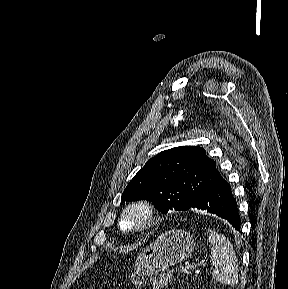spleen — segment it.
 <instances>
[{"label": "spleen", "instance_id": "obj_1", "mask_svg": "<svg viewBox=\"0 0 288 289\" xmlns=\"http://www.w3.org/2000/svg\"><path fill=\"white\" fill-rule=\"evenodd\" d=\"M211 245L212 277L225 285L238 283V260L230 241L212 230L209 231Z\"/></svg>", "mask_w": 288, "mask_h": 289}]
</instances>
